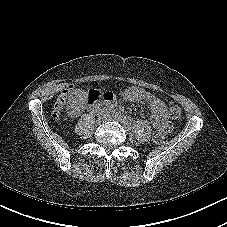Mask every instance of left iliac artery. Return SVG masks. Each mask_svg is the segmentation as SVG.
I'll list each match as a JSON object with an SVG mask.
<instances>
[{
  "label": "left iliac artery",
  "mask_w": 227,
  "mask_h": 227,
  "mask_svg": "<svg viewBox=\"0 0 227 227\" xmlns=\"http://www.w3.org/2000/svg\"><path fill=\"white\" fill-rule=\"evenodd\" d=\"M121 120L128 125V127L131 126V122H129L128 118L125 116H120Z\"/></svg>",
  "instance_id": "obj_1"
}]
</instances>
